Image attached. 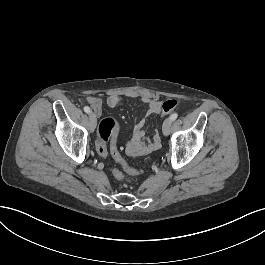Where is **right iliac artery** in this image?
Wrapping results in <instances>:
<instances>
[{"instance_id":"obj_1","label":"right iliac artery","mask_w":265,"mask_h":265,"mask_svg":"<svg viewBox=\"0 0 265 265\" xmlns=\"http://www.w3.org/2000/svg\"><path fill=\"white\" fill-rule=\"evenodd\" d=\"M84 111H85L86 113H88V114L91 112V110H90V108H89L88 106H85V107H84Z\"/></svg>"}]
</instances>
